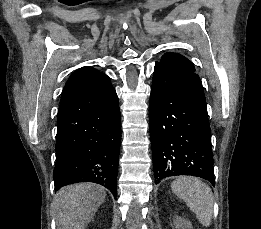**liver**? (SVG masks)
<instances>
[{
	"mask_svg": "<svg viewBox=\"0 0 261 229\" xmlns=\"http://www.w3.org/2000/svg\"><path fill=\"white\" fill-rule=\"evenodd\" d=\"M105 197V187L95 183H79L60 189L53 199L58 229H85Z\"/></svg>",
	"mask_w": 261,
	"mask_h": 229,
	"instance_id": "6515ba94",
	"label": "liver"
}]
</instances>
